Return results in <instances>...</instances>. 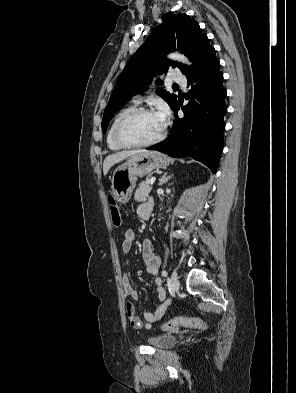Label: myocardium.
<instances>
[{"mask_svg":"<svg viewBox=\"0 0 296 393\" xmlns=\"http://www.w3.org/2000/svg\"><path fill=\"white\" fill-rule=\"evenodd\" d=\"M154 112L151 108L147 107H138L134 108L133 110L129 111L127 114H125L120 121L118 122L116 128H115V140L117 141L118 144L125 148H141V147H147L154 145L158 142H160L164 136H165V127H163L161 133L156 136L155 138L146 141V142H131L128 141L125 136H124V131L126 126L130 121H132L134 118L141 114H146V113H152Z\"/></svg>","mask_w":296,"mask_h":393,"instance_id":"obj_1","label":"myocardium"}]
</instances>
